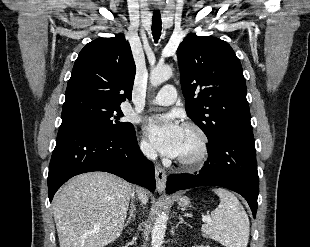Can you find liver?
Listing matches in <instances>:
<instances>
[{"mask_svg": "<svg viewBox=\"0 0 310 247\" xmlns=\"http://www.w3.org/2000/svg\"><path fill=\"white\" fill-rule=\"evenodd\" d=\"M138 196L148 202L144 189ZM131 184L105 172L72 178L54 196L53 215L60 247H105L122 233Z\"/></svg>", "mask_w": 310, "mask_h": 247, "instance_id": "1", "label": "liver"}]
</instances>
